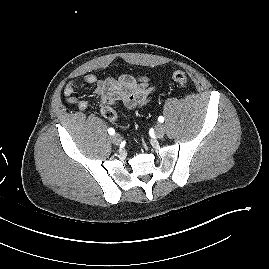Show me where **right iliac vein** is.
Here are the masks:
<instances>
[{
  "label": "right iliac vein",
  "instance_id": "obj_1",
  "mask_svg": "<svg viewBox=\"0 0 269 269\" xmlns=\"http://www.w3.org/2000/svg\"><path fill=\"white\" fill-rule=\"evenodd\" d=\"M111 141L113 144L118 145L121 142V136L116 133V134L112 135Z\"/></svg>",
  "mask_w": 269,
  "mask_h": 269
}]
</instances>
